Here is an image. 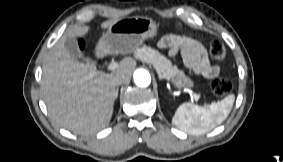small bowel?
I'll return each instance as SVG.
<instances>
[{"instance_id": "obj_1", "label": "small bowel", "mask_w": 283, "mask_h": 162, "mask_svg": "<svg viewBox=\"0 0 283 162\" xmlns=\"http://www.w3.org/2000/svg\"><path fill=\"white\" fill-rule=\"evenodd\" d=\"M159 47L167 49L170 56L180 54L185 65L200 76L214 78L220 72L209 62L204 46L192 38L167 35L159 41Z\"/></svg>"}]
</instances>
